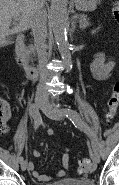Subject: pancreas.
Here are the masks:
<instances>
[{"label": "pancreas", "instance_id": "1", "mask_svg": "<svg viewBox=\"0 0 119 185\" xmlns=\"http://www.w3.org/2000/svg\"><path fill=\"white\" fill-rule=\"evenodd\" d=\"M79 26L82 29L87 28L90 25L89 19L86 15H79L78 16ZM31 51L33 52V47H30Z\"/></svg>", "mask_w": 119, "mask_h": 185}]
</instances>
